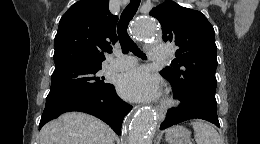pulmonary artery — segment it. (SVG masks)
Instances as JSON below:
<instances>
[{
	"label": "pulmonary artery",
	"instance_id": "e3ab8cb5",
	"mask_svg": "<svg viewBox=\"0 0 260 144\" xmlns=\"http://www.w3.org/2000/svg\"><path fill=\"white\" fill-rule=\"evenodd\" d=\"M151 61H164L168 57L166 47H152L149 52ZM136 65V59L133 56L118 54L115 59L110 61L109 67L114 71H123Z\"/></svg>",
	"mask_w": 260,
	"mask_h": 144
}]
</instances>
